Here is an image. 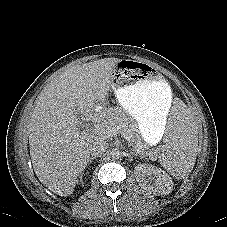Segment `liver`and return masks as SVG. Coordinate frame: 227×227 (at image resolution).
<instances>
[{
  "label": "liver",
  "instance_id": "obj_1",
  "mask_svg": "<svg viewBox=\"0 0 227 227\" xmlns=\"http://www.w3.org/2000/svg\"><path fill=\"white\" fill-rule=\"evenodd\" d=\"M104 58L71 66L40 93L29 124L30 156L36 176L59 196L72 194L85 169L89 147L98 137L79 131L78 114L89 116L104 104L111 89L113 65Z\"/></svg>",
  "mask_w": 227,
  "mask_h": 227
}]
</instances>
